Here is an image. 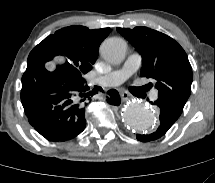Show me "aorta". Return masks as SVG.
Returning <instances> with one entry per match:
<instances>
[{
	"label": "aorta",
	"mask_w": 215,
	"mask_h": 183,
	"mask_svg": "<svg viewBox=\"0 0 215 183\" xmlns=\"http://www.w3.org/2000/svg\"><path fill=\"white\" fill-rule=\"evenodd\" d=\"M126 51V42L119 37L105 40L100 47L102 57L112 64L121 63ZM122 120L128 129L135 132H149L155 128L157 123L153 110L139 101H131L125 105L122 110Z\"/></svg>",
	"instance_id": "762f6f07"
}]
</instances>
